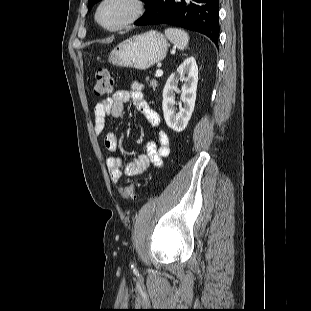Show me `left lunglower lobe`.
<instances>
[{
    "label": "left lung lower lobe",
    "instance_id": "obj_1",
    "mask_svg": "<svg viewBox=\"0 0 311 311\" xmlns=\"http://www.w3.org/2000/svg\"><path fill=\"white\" fill-rule=\"evenodd\" d=\"M143 16L135 25L169 24L208 36L217 46L219 37L218 0H148Z\"/></svg>",
    "mask_w": 311,
    "mask_h": 311
}]
</instances>
